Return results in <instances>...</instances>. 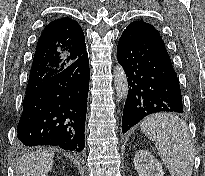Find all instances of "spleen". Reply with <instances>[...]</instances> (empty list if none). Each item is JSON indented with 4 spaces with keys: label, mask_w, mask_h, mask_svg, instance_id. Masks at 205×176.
Here are the masks:
<instances>
[{
    "label": "spleen",
    "mask_w": 205,
    "mask_h": 176,
    "mask_svg": "<svg viewBox=\"0 0 205 176\" xmlns=\"http://www.w3.org/2000/svg\"><path fill=\"white\" fill-rule=\"evenodd\" d=\"M141 131L152 141L171 176H191L195 149L187 124L171 113H159L144 119Z\"/></svg>",
    "instance_id": "obj_1"
}]
</instances>
